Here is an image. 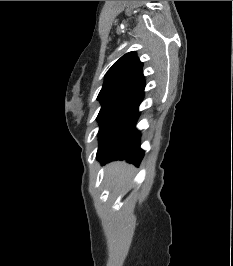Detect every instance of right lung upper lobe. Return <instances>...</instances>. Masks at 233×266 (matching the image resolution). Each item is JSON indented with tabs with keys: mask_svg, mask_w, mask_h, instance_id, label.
I'll return each instance as SVG.
<instances>
[{
	"mask_svg": "<svg viewBox=\"0 0 233 266\" xmlns=\"http://www.w3.org/2000/svg\"><path fill=\"white\" fill-rule=\"evenodd\" d=\"M143 64L136 52L123 55L105 75L103 87L98 98L126 93H143L145 81Z\"/></svg>",
	"mask_w": 233,
	"mask_h": 266,
	"instance_id": "1",
	"label": "right lung upper lobe"
}]
</instances>
